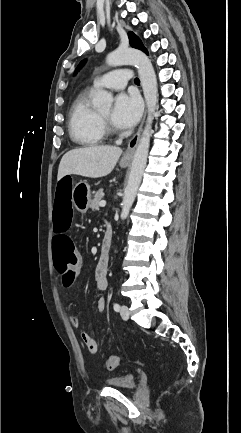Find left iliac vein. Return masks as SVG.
<instances>
[{"label":"left iliac vein","instance_id":"left-iliac-vein-1","mask_svg":"<svg viewBox=\"0 0 241 433\" xmlns=\"http://www.w3.org/2000/svg\"><path fill=\"white\" fill-rule=\"evenodd\" d=\"M120 315L122 317V319L127 320L129 318V310L128 307L126 305H122L121 310H120Z\"/></svg>","mask_w":241,"mask_h":433}]
</instances>
